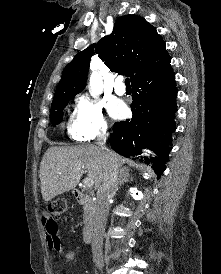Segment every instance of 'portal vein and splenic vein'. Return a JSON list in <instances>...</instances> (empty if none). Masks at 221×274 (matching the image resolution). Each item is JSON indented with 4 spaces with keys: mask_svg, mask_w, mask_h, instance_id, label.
<instances>
[{
    "mask_svg": "<svg viewBox=\"0 0 221 274\" xmlns=\"http://www.w3.org/2000/svg\"><path fill=\"white\" fill-rule=\"evenodd\" d=\"M94 185V181L92 178L87 177L86 179H84V186L87 188H91Z\"/></svg>",
    "mask_w": 221,
    "mask_h": 274,
    "instance_id": "portal-vein-and-splenic-vein-1",
    "label": "portal vein and splenic vein"
}]
</instances>
